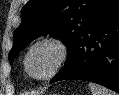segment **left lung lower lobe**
Instances as JSON below:
<instances>
[{
  "label": "left lung lower lobe",
  "instance_id": "1",
  "mask_svg": "<svg viewBox=\"0 0 119 95\" xmlns=\"http://www.w3.org/2000/svg\"><path fill=\"white\" fill-rule=\"evenodd\" d=\"M85 80L119 93V0H113L83 35L74 60L50 82Z\"/></svg>",
  "mask_w": 119,
  "mask_h": 95
}]
</instances>
